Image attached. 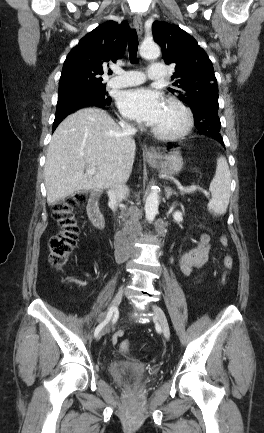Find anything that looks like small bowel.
<instances>
[{"mask_svg":"<svg viewBox=\"0 0 264 433\" xmlns=\"http://www.w3.org/2000/svg\"><path fill=\"white\" fill-rule=\"evenodd\" d=\"M209 242V236L202 234L198 245L182 254L179 260V267L184 275H189L194 268L202 267L208 261ZM121 335L122 332H118L112 338V344H115Z\"/></svg>","mask_w":264,"mask_h":433,"instance_id":"obj_1","label":"small bowel"}]
</instances>
